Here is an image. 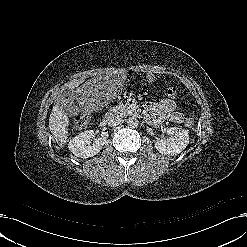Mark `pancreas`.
<instances>
[{"mask_svg":"<svg viewBox=\"0 0 247 247\" xmlns=\"http://www.w3.org/2000/svg\"><path fill=\"white\" fill-rule=\"evenodd\" d=\"M112 111L117 112L121 116H128L133 114V110L128 104H121L111 108Z\"/></svg>","mask_w":247,"mask_h":247,"instance_id":"pancreas-1","label":"pancreas"}]
</instances>
